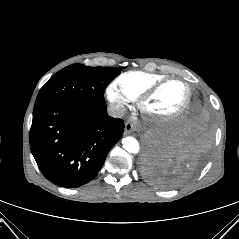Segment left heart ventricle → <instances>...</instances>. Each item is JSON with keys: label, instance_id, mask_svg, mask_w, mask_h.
Wrapping results in <instances>:
<instances>
[{"label": "left heart ventricle", "instance_id": "obj_1", "mask_svg": "<svg viewBox=\"0 0 239 239\" xmlns=\"http://www.w3.org/2000/svg\"><path fill=\"white\" fill-rule=\"evenodd\" d=\"M186 96L187 89L184 84L169 83L148 103V110L154 114L173 113L182 106Z\"/></svg>", "mask_w": 239, "mask_h": 239}]
</instances>
